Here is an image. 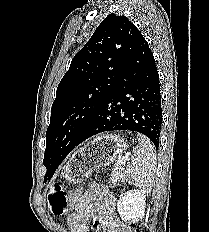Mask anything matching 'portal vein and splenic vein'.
Returning a JSON list of instances; mask_svg holds the SVG:
<instances>
[{
  "label": "portal vein and splenic vein",
  "instance_id": "portal-vein-and-splenic-vein-1",
  "mask_svg": "<svg viewBox=\"0 0 209 232\" xmlns=\"http://www.w3.org/2000/svg\"><path fill=\"white\" fill-rule=\"evenodd\" d=\"M130 158L128 156L120 158L116 163V168L121 167L122 164H124L126 161H129Z\"/></svg>",
  "mask_w": 209,
  "mask_h": 232
}]
</instances>
